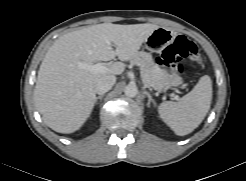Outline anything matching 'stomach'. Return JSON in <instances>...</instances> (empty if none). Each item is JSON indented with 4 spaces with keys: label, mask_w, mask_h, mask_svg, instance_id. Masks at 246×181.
<instances>
[{
    "label": "stomach",
    "mask_w": 246,
    "mask_h": 181,
    "mask_svg": "<svg viewBox=\"0 0 246 181\" xmlns=\"http://www.w3.org/2000/svg\"><path fill=\"white\" fill-rule=\"evenodd\" d=\"M175 36L176 35L172 30L165 27H159L146 39V48L151 52L160 51L173 42ZM173 85H178V83H174Z\"/></svg>",
    "instance_id": "0dacf381"
}]
</instances>
